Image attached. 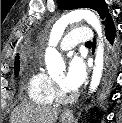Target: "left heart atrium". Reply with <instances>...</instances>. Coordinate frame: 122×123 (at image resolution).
<instances>
[{"label": "left heart atrium", "mask_w": 122, "mask_h": 123, "mask_svg": "<svg viewBox=\"0 0 122 123\" xmlns=\"http://www.w3.org/2000/svg\"><path fill=\"white\" fill-rule=\"evenodd\" d=\"M86 74V66L83 59L74 56L70 59L62 84L70 91L77 90L84 83Z\"/></svg>", "instance_id": "1"}]
</instances>
